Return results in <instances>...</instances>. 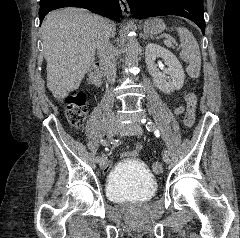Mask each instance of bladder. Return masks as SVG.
<instances>
[{"label": "bladder", "mask_w": 240, "mask_h": 238, "mask_svg": "<svg viewBox=\"0 0 240 238\" xmlns=\"http://www.w3.org/2000/svg\"><path fill=\"white\" fill-rule=\"evenodd\" d=\"M157 181L138 159L120 161L106 181V194L117 203H140L150 200L156 193Z\"/></svg>", "instance_id": "31cf9c89"}]
</instances>
